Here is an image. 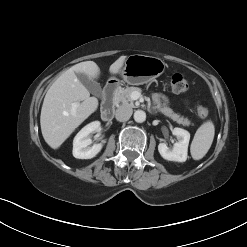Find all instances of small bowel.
<instances>
[{"mask_svg": "<svg viewBox=\"0 0 247 247\" xmlns=\"http://www.w3.org/2000/svg\"><path fill=\"white\" fill-rule=\"evenodd\" d=\"M156 97L159 98V99H164V97L161 96V95H157Z\"/></svg>", "mask_w": 247, "mask_h": 247, "instance_id": "1", "label": "small bowel"}]
</instances>
